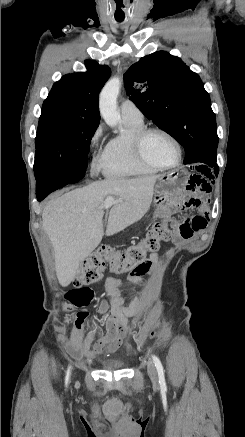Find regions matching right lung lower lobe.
I'll return each mask as SVG.
<instances>
[{
  "mask_svg": "<svg viewBox=\"0 0 245 437\" xmlns=\"http://www.w3.org/2000/svg\"><path fill=\"white\" fill-rule=\"evenodd\" d=\"M85 173L72 171H47L36 178V197L41 202L51 192L69 184L76 183Z\"/></svg>",
  "mask_w": 245,
  "mask_h": 437,
  "instance_id": "obj_1",
  "label": "right lung lower lobe"
}]
</instances>
